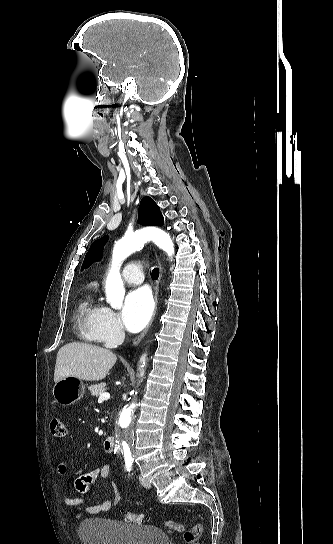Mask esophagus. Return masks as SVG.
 Listing matches in <instances>:
<instances>
[{"instance_id": "1", "label": "esophagus", "mask_w": 333, "mask_h": 544, "mask_svg": "<svg viewBox=\"0 0 333 544\" xmlns=\"http://www.w3.org/2000/svg\"><path fill=\"white\" fill-rule=\"evenodd\" d=\"M158 265H159V278L156 282V285H155V288H154V299H155V310H154V313H153V316L150 320V322L148 323V325L146 326V328L140 333V335H138L132 342V346H136L138 345L141 340L144 338V336L146 335V333L148 332L152 322H153V319L155 317V313H156V310H157V305H158V294H159V284H160V280H161V276H162V272H163V268H162V264L161 262L158 260Z\"/></svg>"}]
</instances>
